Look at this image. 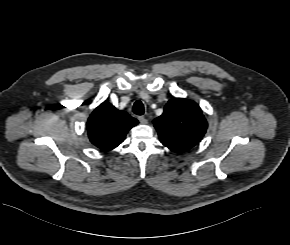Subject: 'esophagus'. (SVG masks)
Masks as SVG:
<instances>
[{
	"label": "esophagus",
	"instance_id": "obj_1",
	"mask_svg": "<svg viewBox=\"0 0 290 245\" xmlns=\"http://www.w3.org/2000/svg\"><path fill=\"white\" fill-rule=\"evenodd\" d=\"M138 120H139L140 123H142V124H147V123H148V120H147L145 117H143V116H139V117H138Z\"/></svg>",
	"mask_w": 290,
	"mask_h": 245
}]
</instances>
